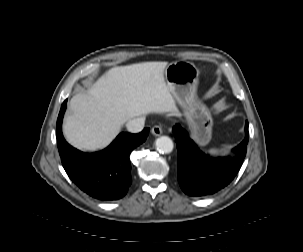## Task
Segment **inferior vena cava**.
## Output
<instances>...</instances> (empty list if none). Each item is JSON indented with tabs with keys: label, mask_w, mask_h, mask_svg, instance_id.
Wrapping results in <instances>:
<instances>
[{
	"label": "inferior vena cava",
	"mask_w": 303,
	"mask_h": 252,
	"mask_svg": "<svg viewBox=\"0 0 303 252\" xmlns=\"http://www.w3.org/2000/svg\"><path fill=\"white\" fill-rule=\"evenodd\" d=\"M145 123L144 117L133 118L126 123V129L131 133H138L143 130Z\"/></svg>",
	"instance_id": "1"
}]
</instances>
